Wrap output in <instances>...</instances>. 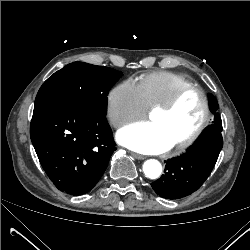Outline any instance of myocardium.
<instances>
[{
	"label": "myocardium",
	"mask_w": 250,
	"mask_h": 250,
	"mask_svg": "<svg viewBox=\"0 0 250 250\" xmlns=\"http://www.w3.org/2000/svg\"><path fill=\"white\" fill-rule=\"evenodd\" d=\"M195 92L197 93L202 100L203 104V115L200 124L197 128L190 134L188 137L183 139L182 141L175 143L172 147L177 150H182L190 145H192L204 132L210 120V101L207 94L198 86L190 85L183 87L176 91L165 103L155 106L152 108L151 112H159L161 114H167L171 112L178 103L182 100L184 96L189 93Z\"/></svg>",
	"instance_id": "myocardium-1"
}]
</instances>
